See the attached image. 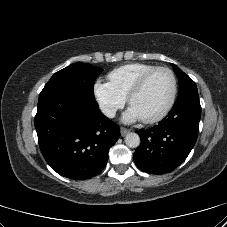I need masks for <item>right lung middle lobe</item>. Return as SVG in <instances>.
<instances>
[{
  "instance_id": "dd1d6c3e",
  "label": "right lung middle lobe",
  "mask_w": 227,
  "mask_h": 227,
  "mask_svg": "<svg viewBox=\"0 0 227 227\" xmlns=\"http://www.w3.org/2000/svg\"><path fill=\"white\" fill-rule=\"evenodd\" d=\"M101 72L102 68L81 62L74 63L56 72L43 90L58 86H69L90 98H94L93 85Z\"/></svg>"
}]
</instances>
